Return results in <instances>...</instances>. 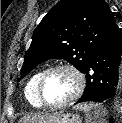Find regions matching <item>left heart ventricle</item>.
<instances>
[{"label":"left heart ventricle","mask_w":122,"mask_h":123,"mask_svg":"<svg viewBox=\"0 0 122 123\" xmlns=\"http://www.w3.org/2000/svg\"><path fill=\"white\" fill-rule=\"evenodd\" d=\"M76 87V79L67 70L52 72L46 79L43 94L46 101L59 103L72 95Z\"/></svg>","instance_id":"left-heart-ventricle-1"}]
</instances>
